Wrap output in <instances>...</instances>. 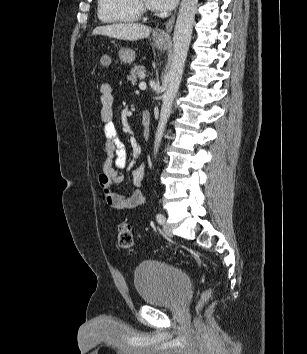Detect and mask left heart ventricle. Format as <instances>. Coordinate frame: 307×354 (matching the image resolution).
Returning <instances> with one entry per match:
<instances>
[{
	"mask_svg": "<svg viewBox=\"0 0 307 354\" xmlns=\"http://www.w3.org/2000/svg\"><path fill=\"white\" fill-rule=\"evenodd\" d=\"M144 2H145L147 5H149V1H148V0H144Z\"/></svg>",
	"mask_w": 307,
	"mask_h": 354,
	"instance_id": "obj_1",
	"label": "left heart ventricle"
}]
</instances>
